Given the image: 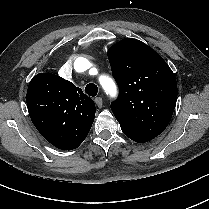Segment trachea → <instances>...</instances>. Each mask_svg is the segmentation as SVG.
<instances>
[{
	"instance_id": "trachea-1",
	"label": "trachea",
	"mask_w": 209,
	"mask_h": 209,
	"mask_svg": "<svg viewBox=\"0 0 209 209\" xmlns=\"http://www.w3.org/2000/svg\"><path fill=\"white\" fill-rule=\"evenodd\" d=\"M85 92L89 95V96H96L97 92H98V87L97 85H95L94 83H89L86 85L85 87Z\"/></svg>"
}]
</instances>
